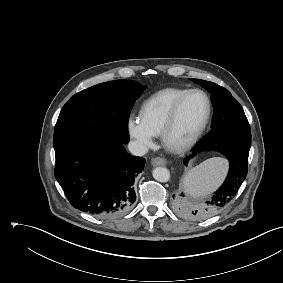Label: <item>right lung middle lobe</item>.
<instances>
[{"label": "right lung middle lobe", "mask_w": 283, "mask_h": 283, "mask_svg": "<svg viewBox=\"0 0 283 283\" xmlns=\"http://www.w3.org/2000/svg\"><path fill=\"white\" fill-rule=\"evenodd\" d=\"M145 86L131 80L101 83L72 96L54 131L55 151L85 136L106 135L126 144L130 110Z\"/></svg>", "instance_id": "dd1d6c3e"}]
</instances>
